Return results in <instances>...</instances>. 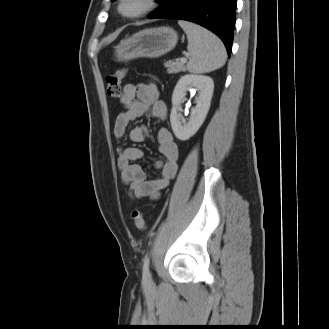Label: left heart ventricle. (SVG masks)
<instances>
[{"mask_svg": "<svg viewBox=\"0 0 329 329\" xmlns=\"http://www.w3.org/2000/svg\"><path fill=\"white\" fill-rule=\"evenodd\" d=\"M141 7L140 0H129L123 5V11L126 13H131L138 10Z\"/></svg>", "mask_w": 329, "mask_h": 329, "instance_id": "left-heart-ventricle-1", "label": "left heart ventricle"}]
</instances>
